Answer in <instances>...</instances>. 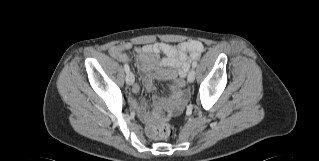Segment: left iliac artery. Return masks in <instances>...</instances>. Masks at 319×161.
<instances>
[{"instance_id":"obj_1","label":"left iliac artery","mask_w":319,"mask_h":161,"mask_svg":"<svg viewBox=\"0 0 319 161\" xmlns=\"http://www.w3.org/2000/svg\"><path fill=\"white\" fill-rule=\"evenodd\" d=\"M196 66H197V62L194 61V62L192 63V67L195 68Z\"/></svg>"}]
</instances>
